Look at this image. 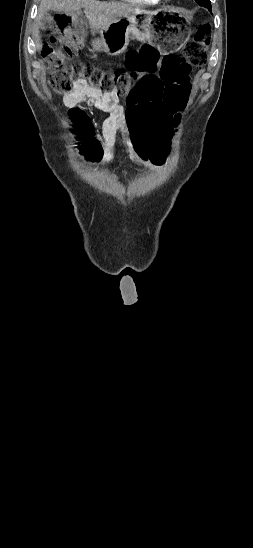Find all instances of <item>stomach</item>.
Returning <instances> with one entry per match:
<instances>
[{"instance_id": "stomach-1", "label": "stomach", "mask_w": 253, "mask_h": 548, "mask_svg": "<svg viewBox=\"0 0 253 548\" xmlns=\"http://www.w3.org/2000/svg\"><path fill=\"white\" fill-rule=\"evenodd\" d=\"M93 42L97 52L117 56L123 53L130 39L147 42L162 53L177 51L190 36L185 15L175 9L154 11L141 9L129 17L118 19Z\"/></svg>"}]
</instances>
